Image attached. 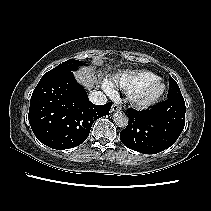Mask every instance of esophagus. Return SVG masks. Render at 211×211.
I'll return each mask as SVG.
<instances>
[{"label":"esophagus","instance_id":"obj_1","mask_svg":"<svg viewBox=\"0 0 211 211\" xmlns=\"http://www.w3.org/2000/svg\"><path fill=\"white\" fill-rule=\"evenodd\" d=\"M121 110V106L117 103H114L112 105V111H120Z\"/></svg>","mask_w":211,"mask_h":211}]
</instances>
